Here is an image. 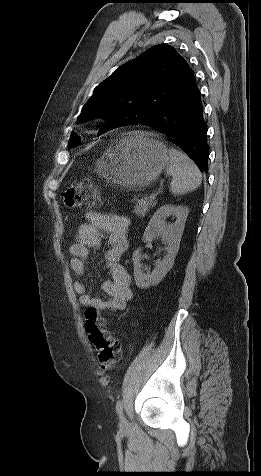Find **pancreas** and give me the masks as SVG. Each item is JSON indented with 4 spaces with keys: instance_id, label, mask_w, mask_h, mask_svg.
I'll use <instances>...</instances> for the list:
<instances>
[{
    "instance_id": "obj_1",
    "label": "pancreas",
    "mask_w": 261,
    "mask_h": 476,
    "mask_svg": "<svg viewBox=\"0 0 261 476\" xmlns=\"http://www.w3.org/2000/svg\"><path fill=\"white\" fill-rule=\"evenodd\" d=\"M155 201L150 199V196H145L136 200L134 213L138 216H145L147 212L155 206Z\"/></svg>"
}]
</instances>
